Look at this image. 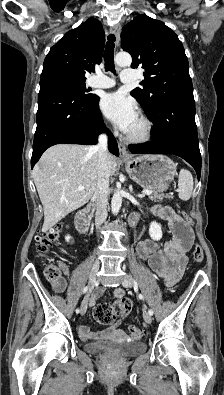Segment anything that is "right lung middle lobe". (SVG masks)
<instances>
[{
    "mask_svg": "<svg viewBox=\"0 0 224 395\" xmlns=\"http://www.w3.org/2000/svg\"><path fill=\"white\" fill-rule=\"evenodd\" d=\"M86 79H79L60 71H51L41 75L40 84L53 83L61 88H64L79 98L91 99L93 94L87 93L85 85Z\"/></svg>",
    "mask_w": 224,
    "mask_h": 395,
    "instance_id": "1",
    "label": "right lung middle lobe"
}]
</instances>
